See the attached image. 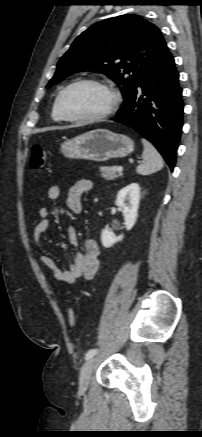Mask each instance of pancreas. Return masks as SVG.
Segmentation results:
<instances>
[{
	"label": "pancreas",
	"mask_w": 202,
	"mask_h": 437,
	"mask_svg": "<svg viewBox=\"0 0 202 437\" xmlns=\"http://www.w3.org/2000/svg\"><path fill=\"white\" fill-rule=\"evenodd\" d=\"M100 172L101 176L106 180H114L123 175L122 173H117V166H102L100 167Z\"/></svg>",
	"instance_id": "obj_1"
}]
</instances>
